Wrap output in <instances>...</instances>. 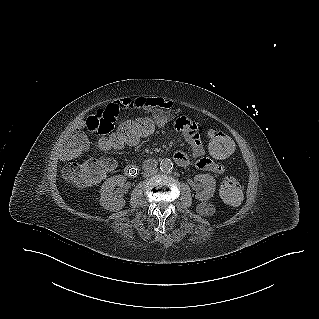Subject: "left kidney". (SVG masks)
Listing matches in <instances>:
<instances>
[{
  "label": "left kidney",
  "mask_w": 319,
  "mask_h": 319,
  "mask_svg": "<svg viewBox=\"0 0 319 319\" xmlns=\"http://www.w3.org/2000/svg\"><path fill=\"white\" fill-rule=\"evenodd\" d=\"M194 180L202 182L203 185V190L196 192V199L201 201L203 204L207 203L208 200L213 197L216 189V182L214 177L209 174H199L194 177Z\"/></svg>",
  "instance_id": "1"
}]
</instances>
